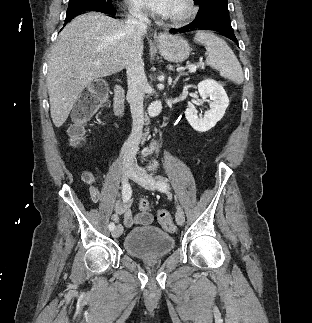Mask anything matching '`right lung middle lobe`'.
I'll return each instance as SVG.
<instances>
[{"label": "right lung middle lobe", "mask_w": 312, "mask_h": 323, "mask_svg": "<svg viewBox=\"0 0 312 323\" xmlns=\"http://www.w3.org/2000/svg\"><path fill=\"white\" fill-rule=\"evenodd\" d=\"M112 8L111 0H69L66 17L74 16L86 10Z\"/></svg>", "instance_id": "1"}]
</instances>
